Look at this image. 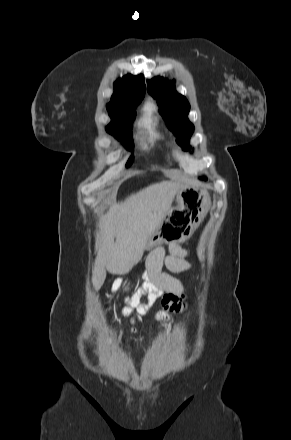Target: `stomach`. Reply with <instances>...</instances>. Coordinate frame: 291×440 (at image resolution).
Instances as JSON below:
<instances>
[{
	"mask_svg": "<svg viewBox=\"0 0 291 440\" xmlns=\"http://www.w3.org/2000/svg\"><path fill=\"white\" fill-rule=\"evenodd\" d=\"M175 196L176 207L167 211L149 238L146 248L161 242L188 238L210 210L211 200L205 189L185 186Z\"/></svg>",
	"mask_w": 291,
	"mask_h": 440,
	"instance_id": "stomach-1",
	"label": "stomach"
}]
</instances>
